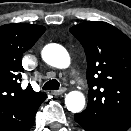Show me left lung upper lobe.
I'll return each instance as SVG.
<instances>
[{
  "mask_svg": "<svg viewBox=\"0 0 131 131\" xmlns=\"http://www.w3.org/2000/svg\"><path fill=\"white\" fill-rule=\"evenodd\" d=\"M87 58L88 105L82 112L104 131L131 127V40L106 22L70 28Z\"/></svg>",
  "mask_w": 131,
  "mask_h": 131,
  "instance_id": "obj_1",
  "label": "left lung upper lobe"
}]
</instances>
